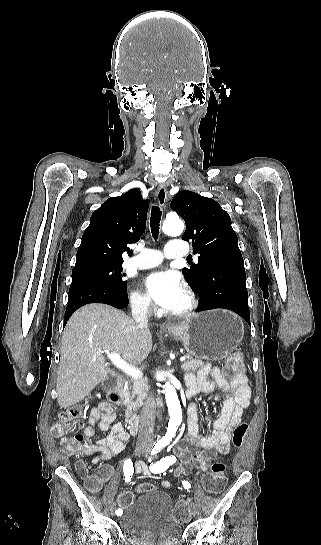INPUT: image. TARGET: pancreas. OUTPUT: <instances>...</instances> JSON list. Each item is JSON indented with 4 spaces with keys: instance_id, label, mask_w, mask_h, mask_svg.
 Wrapping results in <instances>:
<instances>
[{
    "instance_id": "1",
    "label": "pancreas",
    "mask_w": 321,
    "mask_h": 545,
    "mask_svg": "<svg viewBox=\"0 0 321 545\" xmlns=\"http://www.w3.org/2000/svg\"><path fill=\"white\" fill-rule=\"evenodd\" d=\"M203 365V361L189 357V359L183 363L181 369H183L185 373H189V371H197V369H199V367H203ZM129 383L130 389H127V391L124 393L126 401L136 403V405H142V401L143 399H146L147 391L149 389L147 383L142 381V379H131ZM133 399H135V401H133Z\"/></svg>"
}]
</instances>
